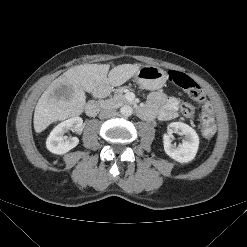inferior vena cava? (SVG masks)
I'll use <instances>...</instances> for the list:
<instances>
[{"mask_svg": "<svg viewBox=\"0 0 247 247\" xmlns=\"http://www.w3.org/2000/svg\"><path fill=\"white\" fill-rule=\"evenodd\" d=\"M116 110L113 108H104L100 111L99 113V118L100 119H106V118H111L116 115Z\"/></svg>", "mask_w": 247, "mask_h": 247, "instance_id": "obj_1", "label": "inferior vena cava"}]
</instances>
